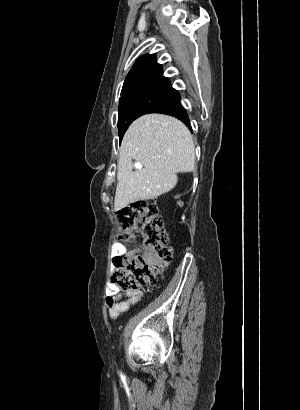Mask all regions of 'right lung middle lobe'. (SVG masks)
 <instances>
[{
  "instance_id": "dd1d6c3e",
  "label": "right lung middle lobe",
  "mask_w": 300,
  "mask_h": 410,
  "mask_svg": "<svg viewBox=\"0 0 300 410\" xmlns=\"http://www.w3.org/2000/svg\"><path fill=\"white\" fill-rule=\"evenodd\" d=\"M121 96L118 109L120 140L136 118L147 113H155L180 98L170 82L136 84L122 89Z\"/></svg>"
}]
</instances>
